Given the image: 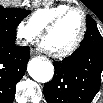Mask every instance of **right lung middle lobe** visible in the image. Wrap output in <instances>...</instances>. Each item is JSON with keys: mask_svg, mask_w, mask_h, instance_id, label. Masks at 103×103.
Returning a JSON list of instances; mask_svg holds the SVG:
<instances>
[{"mask_svg": "<svg viewBox=\"0 0 103 103\" xmlns=\"http://www.w3.org/2000/svg\"><path fill=\"white\" fill-rule=\"evenodd\" d=\"M29 14L25 9L0 7V36L16 39L18 24Z\"/></svg>", "mask_w": 103, "mask_h": 103, "instance_id": "obj_1", "label": "right lung middle lobe"}]
</instances>
